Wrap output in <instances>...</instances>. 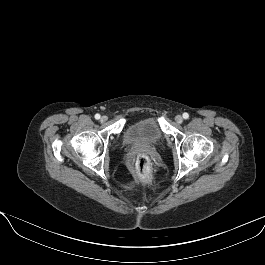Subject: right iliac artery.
Returning <instances> with one entry per match:
<instances>
[{
	"mask_svg": "<svg viewBox=\"0 0 265 265\" xmlns=\"http://www.w3.org/2000/svg\"><path fill=\"white\" fill-rule=\"evenodd\" d=\"M95 119H97V120L100 119V114H96Z\"/></svg>",
	"mask_w": 265,
	"mask_h": 265,
	"instance_id": "82829eb1",
	"label": "right iliac artery"
}]
</instances>
